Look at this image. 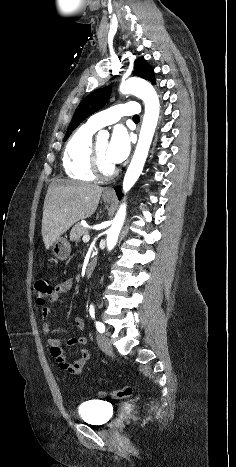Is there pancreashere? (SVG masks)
I'll return each mask as SVG.
<instances>
[{
  "label": "pancreas",
  "instance_id": "1",
  "mask_svg": "<svg viewBox=\"0 0 236 467\" xmlns=\"http://www.w3.org/2000/svg\"><path fill=\"white\" fill-rule=\"evenodd\" d=\"M88 234V230L84 228L81 224H76L70 232V240L72 242H79L81 236Z\"/></svg>",
  "mask_w": 236,
  "mask_h": 467
}]
</instances>
